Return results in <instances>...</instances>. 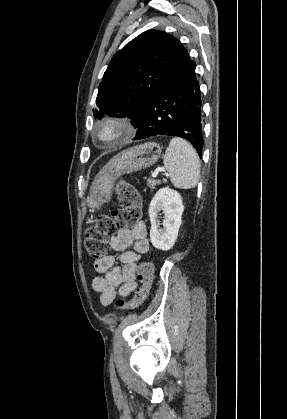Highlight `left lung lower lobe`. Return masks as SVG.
<instances>
[{
  "instance_id": "left-lung-lower-lobe-1",
  "label": "left lung lower lobe",
  "mask_w": 287,
  "mask_h": 419,
  "mask_svg": "<svg viewBox=\"0 0 287 419\" xmlns=\"http://www.w3.org/2000/svg\"><path fill=\"white\" fill-rule=\"evenodd\" d=\"M195 62L148 101L134 140L157 135L188 140L199 156L203 148L201 99Z\"/></svg>"
}]
</instances>
